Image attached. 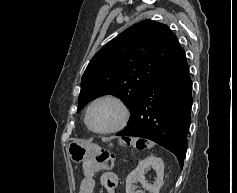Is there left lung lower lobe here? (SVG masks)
<instances>
[{
  "label": "left lung lower lobe",
  "mask_w": 237,
  "mask_h": 193,
  "mask_svg": "<svg viewBox=\"0 0 237 193\" xmlns=\"http://www.w3.org/2000/svg\"><path fill=\"white\" fill-rule=\"evenodd\" d=\"M192 102L188 64L179 46L148 87L129 125L117 136L152 140L174 153L183 167Z\"/></svg>",
  "instance_id": "0a47b994"
}]
</instances>
